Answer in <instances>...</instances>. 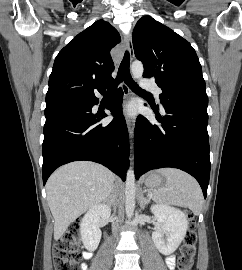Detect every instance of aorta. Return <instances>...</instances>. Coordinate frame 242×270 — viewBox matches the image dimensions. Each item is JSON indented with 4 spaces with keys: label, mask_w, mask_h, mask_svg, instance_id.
Listing matches in <instances>:
<instances>
[{
    "label": "aorta",
    "mask_w": 242,
    "mask_h": 270,
    "mask_svg": "<svg viewBox=\"0 0 242 270\" xmlns=\"http://www.w3.org/2000/svg\"><path fill=\"white\" fill-rule=\"evenodd\" d=\"M143 64L140 61H134L131 66V73L134 79H140L143 75ZM135 174L130 159V166L127 171L126 184H125V211L127 218L130 220L134 214L135 209Z\"/></svg>",
    "instance_id": "1"
}]
</instances>
